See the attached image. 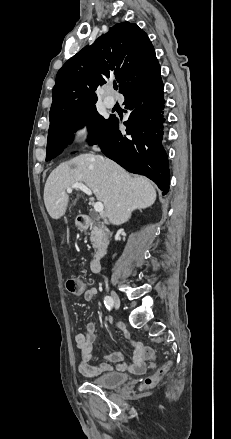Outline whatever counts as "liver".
<instances>
[{"mask_svg":"<svg viewBox=\"0 0 231 439\" xmlns=\"http://www.w3.org/2000/svg\"><path fill=\"white\" fill-rule=\"evenodd\" d=\"M74 183L86 185L103 202L105 214L114 225L127 222L134 210L147 208L156 200L149 179L132 177L117 163L84 153L61 163L50 173L44 187V203L51 218L57 220L66 213L69 204L66 190Z\"/></svg>","mask_w":231,"mask_h":439,"instance_id":"liver-1","label":"liver"}]
</instances>
